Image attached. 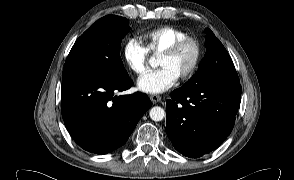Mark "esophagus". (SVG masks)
<instances>
[{"mask_svg":"<svg viewBox=\"0 0 294 180\" xmlns=\"http://www.w3.org/2000/svg\"><path fill=\"white\" fill-rule=\"evenodd\" d=\"M150 99L153 103H158L161 101V96L154 94L150 96Z\"/></svg>","mask_w":294,"mask_h":180,"instance_id":"34e87169","label":"esophagus"}]
</instances>
